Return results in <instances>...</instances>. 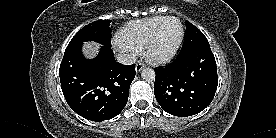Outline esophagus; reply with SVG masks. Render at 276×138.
I'll return each instance as SVG.
<instances>
[{
  "label": "esophagus",
  "instance_id": "esophagus-1",
  "mask_svg": "<svg viewBox=\"0 0 276 138\" xmlns=\"http://www.w3.org/2000/svg\"><path fill=\"white\" fill-rule=\"evenodd\" d=\"M144 67H145V65L143 63L138 62L136 64V72H140Z\"/></svg>",
  "mask_w": 276,
  "mask_h": 138
}]
</instances>
